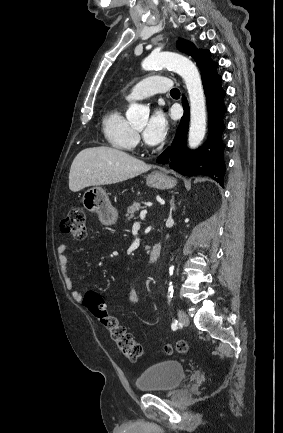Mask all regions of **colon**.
<instances>
[{
	"instance_id": "colon-1",
	"label": "colon",
	"mask_w": 283,
	"mask_h": 433,
	"mask_svg": "<svg viewBox=\"0 0 283 433\" xmlns=\"http://www.w3.org/2000/svg\"><path fill=\"white\" fill-rule=\"evenodd\" d=\"M61 231L71 235L75 240L82 241L87 236V223L85 213L80 207L70 209L67 217L61 221ZM84 306L99 320L103 327L109 332L117 349L130 361H136L142 355L141 345L135 341L132 334L119 324L115 317L106 311V306L101 295L95 291H88L83 298ZM176 350L184 353L188 350L185 341L176 344ZM167 354L172 353L170 345L164 347Z\"/></svg>"
}]
</instances>
